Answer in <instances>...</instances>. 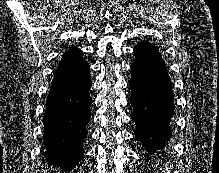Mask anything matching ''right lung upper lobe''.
Returning a JSON list of instances; mask_svg holds the SVG:
<instances>
[{
  "label": "right lung upper lobe",
  "mask_w": 219,
  "mask_h": 173,
  "mask_svg": "<svg viewBox=\"0 0 219 173\" xmlns=\"http://www.w3.org/2000/svg\"><path fill=\"white\" fill-rule=\"evenodd\" d=\"M80 54H82V52L78 48L72 47L63 55V58L70 59Z\"/></svg>",
  "instance_id": "1"
}]
</instances>
